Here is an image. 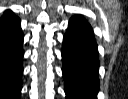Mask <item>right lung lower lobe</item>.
I'll return each instance as SVG.
<instances>
[{"label":"right lung lower lobe","instance_id":"right-lung-lower-lobe-1","mask_svg":"<svg viewBox=\"0 0 128 99\" xmlns=\"http://www.w3.org/2000/svg\"><path fill=\"white\" fill-rule=\"evenodd\" d=\"M23 34L10 10L0 18V99H19L22 89Z\"/></svg>","mask_w":128,"mask_h":99}]
</instances>
